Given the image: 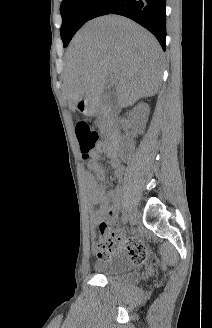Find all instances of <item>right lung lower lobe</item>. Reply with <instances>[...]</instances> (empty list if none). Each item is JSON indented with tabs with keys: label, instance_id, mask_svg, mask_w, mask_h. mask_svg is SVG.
<instances>
[{
	"label": "right lung lower lobe",
	"instance_id": "98d812e1",
	"mask_svg": "<svg viewBox=\"0 0 212 328\" xmlns=\"http://www.w3.org/2000/svg\"><path fill=\"white\" fill-rule=\"evenodd\" d=\"M110 13L128 17L147 28L165 50V0H101L90 17L93 19Z\"/></svg>",
	"mask_w": 212,
	"mask_h": 328
}]
</instances>
